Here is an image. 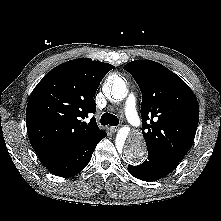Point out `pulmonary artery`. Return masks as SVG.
I'll return each mask as SVG.
<instances>
[{
	"instance_id": "pulmonary-artery-1",
	"label": "pulmonary artery",
	"mask_w": 221,
	"mask_h": 221,
	"mask_svg": "<svg viewBox=\"0 0 221 221\" xmlns=\"http://www.w3.org/2000/svg\"><path fill=\"white\" fill-rule=\"evenodd\" d=\"M135 105V97L130 95L125 103L124 112L130 124L134 127H139L141 125V119L137 113Z\"/></svg>"
}]
</instances>
